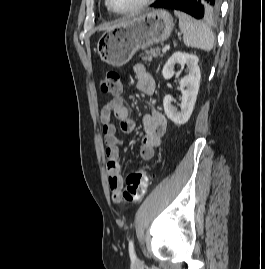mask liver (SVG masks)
<instances>
[{
    "instance_id": "1",
    "label": "liver",
    "mask_w": 265,
    "mask_h": 269,
    "mask_svg": "<svg viewBox=\"0 0 265 269\" xmlns=\"http://www.w3.org/2000/svg\"><path fill=\"white\" fill-rule=\"evenodd\" d=\"M124 22H125V21L119 22V23H117V24H115V25H113V26H110V27L105 26V27H102L100 30L114 29V28H116V27L122 25Z\"/></svg>"
}]
</instances>
